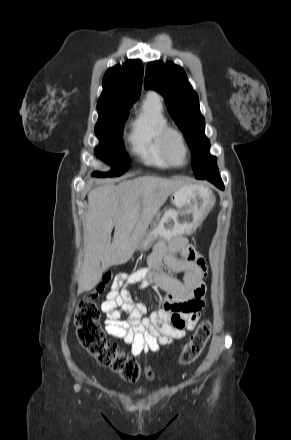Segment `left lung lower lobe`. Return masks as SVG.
I'll use <instances>...</instances> for the list:
<instances>
[{"instance_id":"left-lung-lower-lobe-1","label":"left lung lower lobe","mask_w":291,"mask_h":440,"mask_svg":"<svg viewBox=\"0 0 291 440\" xmlns=\"http://www.w3.org/2000/svg\"><path fill=\"white\" fill-rule=\"evenodd\" d=\"M204 179L210 181L211 183L215 184L218 188L224 189L223 182L221 180V177L219 175V172L216 174H213L211 176H206Z\"/></svg>"}]
</instances>
